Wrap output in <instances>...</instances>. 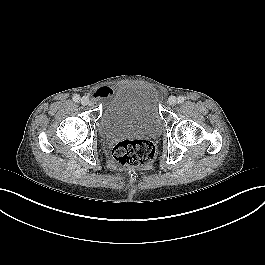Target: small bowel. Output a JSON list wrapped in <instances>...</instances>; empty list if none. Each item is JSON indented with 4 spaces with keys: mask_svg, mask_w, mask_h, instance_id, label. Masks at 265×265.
<instances>
[{
    "mask_svg": "<svg viewBox=\"0 0 265 265\" xmlns=\"http://www.w3.org/2000/svg\"><path fill=\"white\" fill-rule=\"evenodd\" d=\"M112 93L113 89L111 87L102 86L95 91L94 96L100 99H105L109 97Z\"/></svg>",
    "mask_w": 265,
    "mask_h": 265,
    "instance_id": "obj_1",
    "label": "small bowel"
}]
</instances>
